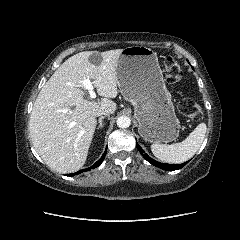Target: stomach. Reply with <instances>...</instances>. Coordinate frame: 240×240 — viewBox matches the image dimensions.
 Wrapping results in <instances>:
<instances>
[{"label":"stomach","mask_w":240,"mask_h":240,"mask_svg":"<svg viewBox=\"0 0 240 240\" xmlns=\"http://www.w3.org/2000/svg\"><path fill=\"white\" fill-rule=\"evenodd\" d=\"M117 83L134 106L140 136L151 143H167L179 136L180 122L166 89L156 52L144 46L123 49L117 64Z\"/></svg>","instance_id":"obj_1"}]
</instances>
